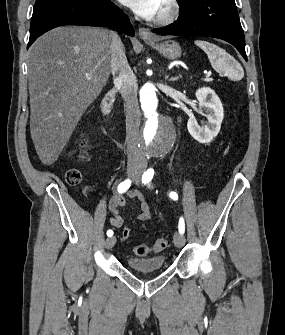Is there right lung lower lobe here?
<instances>
[{
  "mask_svg": "<svg viewBox=\"0 0 285 335\" xmlns=\"http://www.w3.org/2000/svg\"><path fill=\"white\" fill-rule=\"evenodd\" d=\"M103 22L121 33L134 36L129 18L110 0H44L34 5L27 47L40 35L58 26H102Z\"/></svg>",
  "mask_w": 285,
  "mask_h": 335,
  "instance_id": "98d812e1",
  "label": "right lung lower lobe"
}]
</instances>
